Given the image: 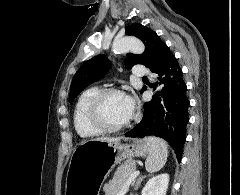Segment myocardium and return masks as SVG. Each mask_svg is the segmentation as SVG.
I'll return each instance as SVG.
<instances>
[{"label": "myocardium", "instance_id": "1", "mask_svg": "<svg viewBox=\"0 0 240 195\" xmlns=\"http://www.w3.org/2000/svg\"><path fill=\"white\" fill-rule=\"evenodd\" d=\"M124 92L117 89L100 91L89 105L88 115L90 122L102 132L118 133L132 127L131 119L122 125H112L105 116L106 101L113 96H124Z\"/></svg>", "mask_w": 240, "mask_h": 195}]
</instances>
